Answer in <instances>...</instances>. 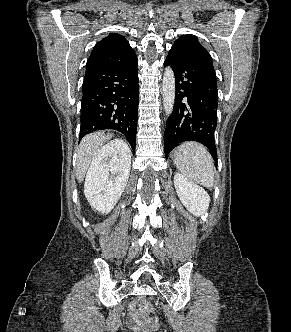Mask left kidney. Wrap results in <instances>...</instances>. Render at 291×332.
Segmentation results:
<instances>
[{
    "label": "left kidney",
    "instance_id": "1",
    "mask_svg": "<svg viewBox=\"0 0 291 332\" xmlns=\"http://www.w3.org/2000/svg\"><path fill=\"white\" fill-rule=\"evenodd\" d=\"M174 186L181 202L193 215H207L210 196L202 187L180 173L174 175Z\"/></svg>",
    "mask_w": 291,
    "mask_h": 332
}]
</instances>
